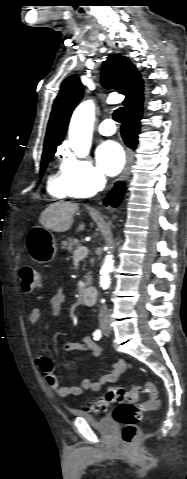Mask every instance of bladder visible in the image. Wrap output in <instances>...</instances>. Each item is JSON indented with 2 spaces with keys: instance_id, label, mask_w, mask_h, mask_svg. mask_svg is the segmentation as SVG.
<instances>
[{
  "instance_id": "1",
  "label": "bladder",
  "mask_w": 187,
  "mask_h": 479,
  "mask_svg": "<svg viewBox=\"0 0 187 479\" xmlns=\"http://www.w3.org/2000/svg\"><path fill=\"white\" fill-rule=\"evenodd\" d=\"M73 415L85 419L102 434L110 435L116 429V425L110 417L95 418L94 416L80 410H75Z\"/></svg>"
}]
</instances>
